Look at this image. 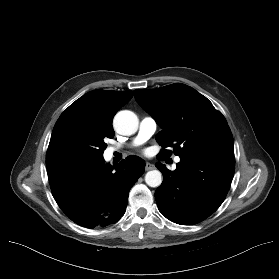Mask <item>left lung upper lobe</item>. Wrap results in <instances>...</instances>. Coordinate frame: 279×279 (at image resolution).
<instances>
[{
  "instance_id": "left-lung-upper-lobe-1",
  "label": "left lung upper lobe",
  "mask_w": 279,
  "mask_h": 279,
  "mask_svg": "<svg viewBox=\"0 0 279 279\" xmlns=\"http://www.w3.org/2000/svg\"><path fill=\"white\" fill-rule=\"evenodd\" d=\"M136 101L162 128L156 141L174 146V154H222L234 156V142L225 117L192 87L175 83L152 90L136 89ZM163 149L158 157L169 156Z\"/></svg>"
}]
</instances>
